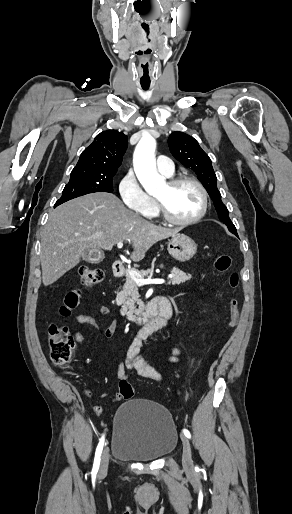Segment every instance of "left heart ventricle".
Wrapping results in <instances>:
<instances>
[{
    "label": "left heart ventricle",
    "instance_id": "b2bd125f",
    "mask_svg": "<svg viewBox=\"0 0 292 514\" xmlns=\"http://www.w3.org/2000/svg\"><path fill=\"white\" fill-rule=\"evenodd\" d=\"M153 197L163 203L173 218L179 220L193 217L200 207L198 191L188 184L175 188H170L166 184Z\"/></svg>",
    "mask_w": 292,
    "mask_h": 514
}]
</instances>
